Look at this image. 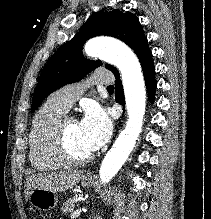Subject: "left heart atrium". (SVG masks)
Here are the masks:
<instances>
[{
  "mask_svg": "<svg viewBox=\"0 0 211 219\" xmlns=\"http://www.w3.org/2000/svg\"><path fill=\"white\" fill-rule=\"evenodd\" d=\"M82 139L89 151L101 148L110 138L112 123L106 112L97 105L86 109L79 123Z\"/></svg>",
  "mask_w": 211,
  "mask_h": 219,
  "instance_id": "1",
  "label": "left heart atrium"
}]
</instances>
